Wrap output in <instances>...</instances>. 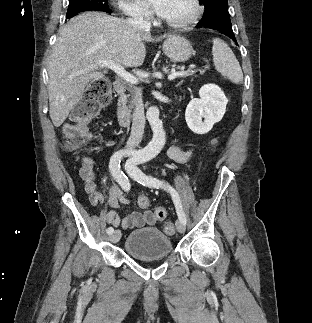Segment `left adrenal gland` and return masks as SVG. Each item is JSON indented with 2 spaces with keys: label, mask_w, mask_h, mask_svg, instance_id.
<instances>
[{
  "label": "left adrenal gland",
  "mask_w": 312,
  "mask_h": 323,
  "mask_svg": "<svg viewBox=\"0 0 312 323\" xmlns=\"http://www.w3.org/2000/svg\"><path fill=\"white\" fill-rule=\"evenodd\" d=\"M181 84H182V82H179V84H177V86H181ZM177 86H176V88H177Z\"/></svg>",
  "instance_id": "1"
}]
</instances>
